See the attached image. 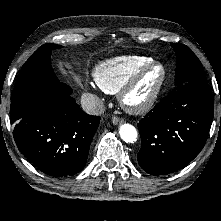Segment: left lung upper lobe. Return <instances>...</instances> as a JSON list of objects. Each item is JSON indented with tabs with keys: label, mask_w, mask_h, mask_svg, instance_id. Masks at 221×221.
Masks as SVG:
<instances>
[{
	"label": "left lung upper lobe",
	"mask_w": 221,
	"mask_h": 221,
	"mask_svg": "<svg viewBox=\"0 0 221 221\" xmlns=\"http://www.w3.org/2000/svg\"><path fill=\"white\" fill-rule=\"evenodd\" d=\"M176 55L175 85L180 87L191 81H207L199 59L189 47L180 43L172 44Z\"/></svg>",
	"instance_id": "1"
}]
</instances>
